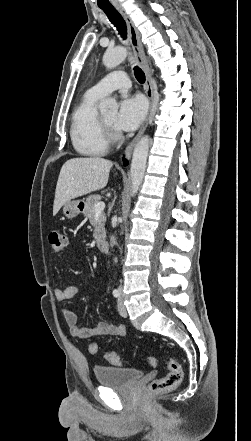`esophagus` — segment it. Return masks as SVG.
I'll return each instance as SVG.
<instances>
[{"label":"esophagus","mask_w":251,"mask_h":441,"mask_svg":"<svg viewBox=\"0 0 251 441\" xmlns=\"http://www.w3.org/2000/svg\"><path fill=\"white\" fill-rule=\"evenodd\" d=\"M118 11L123 16L129 33V39L130 43L132 45V48L134 50L135 56L137 58V61L139 62L140 66L142 67L145 75H146V83H145V92L149 100V111L148 114L139 130L137 135L133 138V140L127 145L125 149V155L127 158L131 157L132 151L143 135L144 131L146 130V127L148 125L152 110H153V101H154V91H153V85H152V76L148 65V60L144 52L143 45L140 41V35L135 27L132 19L130 16L125 12L123 8H118Z\"/></svg>","instance_id":"esophagus-1"}]
</instances>
